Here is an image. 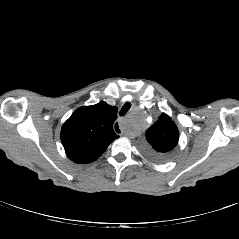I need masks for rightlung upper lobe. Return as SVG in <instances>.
Returning a JSON list of instances; mask_svg holds the SVG:
<instances>
[{
  "instance_id": "obj_1",
  "label": "right lung upper lobe",
  "mask_w": 239,
  "mask_h": 239,
  "mask_svg": "<svg viewBox=\"0 0 239 239\" xmlns=\"http://www.w3.org/2000/svg\"><path fill=\"white\" fill-rule=\"evenodd\" d=\"M117 111L104 101L77 109L61 131L67 156L76 163L95 161L119 137L113 130Z\"/></svg>"
}]
</instances>
